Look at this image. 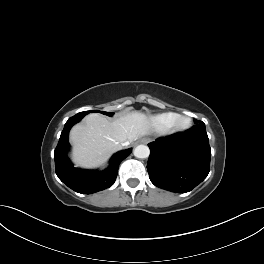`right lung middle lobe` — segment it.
<instances>
[{"instance_id":"1","label":"right lung middle lobe","mask_w":264,"mask_h":264,"mask_svg":"<svg viewBox=\"0 0 264 264\" xmlns=\"http://www.w3.org/2000/svg\"><path fill=\"white\" fill-rule=\"evenodd\" d=\"M92 112H100V113H102L104 115H108V116H112L114 114L113 112L112 113H108V112H103V111H84V112H80V113H78L76 115L85 116L86 114L92 113Z\"/></svg>"}]
</instances>
